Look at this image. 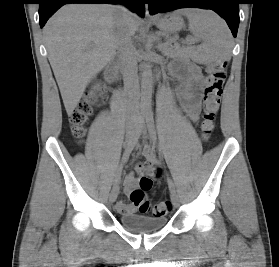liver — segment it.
<instances>
[{
    "instance_id": "6515ba94",
    "label": "liver",
    "mask_w": 279,
    "mask_h": 267,
    "mask_svg": "<svg viewBox=\"0 0 279 267\" xmlns=\"http://www.w3.org/2000/svg\"><path fill=\"white\" fill-rule=\"evenodd\" d=\"M120 7L108 4H70L59 9L43 33L48 59L63 103L71 115L90 81L114 58ZM138 30L140 20L131 15Z\"/></svg>"
}]
</instances>
